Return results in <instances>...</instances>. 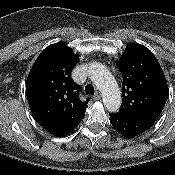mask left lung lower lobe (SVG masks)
Instances as JSON below:
<instances>
[{"label": "left lung lower lobe", "mask_w": 175, "mask_h": 175, "mask_svg": "<svg viewBox=\"0 0 175 175\" xmlns=\"http://www.w3.org/2000/svg\"><path fill=\"white\" fill-rule=\"evenodd\" d=\"M157 116L153 114L124 115L120 113L110 114V122L115 130L122 136L132 138L150 128Z\"/></svg>", "instance_id": "1"}]
</instances>
